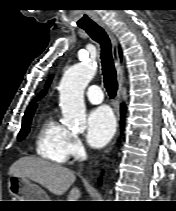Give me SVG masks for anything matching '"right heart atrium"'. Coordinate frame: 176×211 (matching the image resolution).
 Returning a JSON list of instances; mask_svg holds the SVG:
<instances>
[{
	"label": "right heart atrium",
	"mask_w": 176,
	"mask_h": 211,
	"mask_svg": "<svg viewBox=\"0 0 176 211\" xmlns=\"http://www.w3.org/2000/svg\"><path fill=\"white\" fill-rule=\"evenodd\" d=\"M83 150H84V147H83L81 139L77 135L70 133L69 141H68L69 155L73 157H79L83 154Z\"/></svg>",
	"instance_id": "d8ad5b80"
}]
</instances>
